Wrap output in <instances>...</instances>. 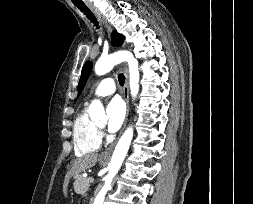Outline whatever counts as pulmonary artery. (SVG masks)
Segmentation results:
<instances>
[{"label":"pulmonary artery","instance_id":"e3ab8cb5","mask_svg":"<svg viewBox=\"0 0 253 204\" xmlns=\"http://www.w3.org/2000/svg\"><path fill=\"white\" fill-rule=\"evenodd\" d=\"M116 90V83L112 77L104 78L94 89L91 97H105L112 95Z\"/></svg>","mask_w":253,"mask_h":204}]
</instances>
